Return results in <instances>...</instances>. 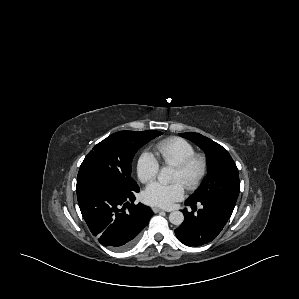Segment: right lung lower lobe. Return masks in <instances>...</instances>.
<instances>
[{"instance_id": "right-lung-lower-lobe-1", "label": "right lung lower lobe", "mask_w": 299, "mask_h": 299, "mask_svg": "<svg viewBox=\"0 0 299 299\" xmlns=\"http://www.w3.org/2000/svg\"><path fill=\"white\" fill-rule=\"evenodd\" d=\"M78 204L91 233L117 251L131 248L153 216L151 209L134 204L136 191H127L107 179L86 176L77 180Z\"/></svg>"}]
</instances>
